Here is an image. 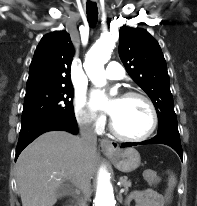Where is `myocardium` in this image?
I'll list each match as a JSON object with an SVG mask.
<instances>
[{
	"mask_svg": "<svg viewBox=\"0 0 197 206\" xmlns=\"http://www.w3.org/2000/svg\"><path fill=\"white\" fill-rule=\"evenodd\" d=\"M121 97L122 98H139V99L143 100L147 104V106L151 112V125L146 133H144L140 136H130V135L124 134L121 131H119L114 123L113 118L111 117L110 122H109V127H110L111 132L116 137H118L122 140H127V141H144V140L148 139L149 137H151L153 135V133L155 132V130L158 126V121H159L157 109H156L154 103L152 102V100L147 95H145L141 92H138V91H127Z\"/></svg>",
	"mask_w": 197,
	"mask_h": 206,
	"instance_id": "myocardium-1",
	"label": "myocardium"
}]
</instances>
